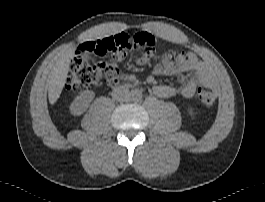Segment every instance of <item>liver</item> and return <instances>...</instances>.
<instances>
[{
  "mask_svg": "<svg viewBox=\"0 0 265 202\" xmlns=\"http://www.w3.org/2000/svg\"><path fill=\"white\" fill-rule=\"evenodd\" d=\"M74 51L75 49L72 48L62 54L50 73L48 99L51 105L56 103L62 93L70 69L71 59L74 57Z\"/></svg>",
  "mask_w": 265,
  "mask_h": 202,
  "instance_id": "liver-1",
  "label": "liver"
}]
</instances>
